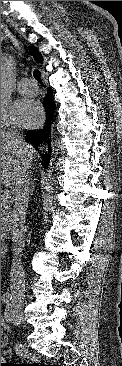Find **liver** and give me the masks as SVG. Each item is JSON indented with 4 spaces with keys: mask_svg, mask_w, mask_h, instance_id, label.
I'll return each instance as SVG.
<instances>
[{
    "mask_svg": "<svg viewBox=\"0 0 122 366\" xmlns=\"http://www.w3.org/2000/svg\"><path fill=\"white\" fill-rule=\"evenodd\" d=\"M27 144V143H26ZM29 145V144H27ZM28 152L32 155L30 170L34 160L37 158V151L29 145ZM27 159L23 149L13 144L7 137L6 131H1V184L7 188L15 186L22 177L24 163Z\"/></svg>",
    "mask_w": 122,
    "mask_h": 366,
    "instance_id": "liver-1",
    "label": "liver"
}]
</instances>
